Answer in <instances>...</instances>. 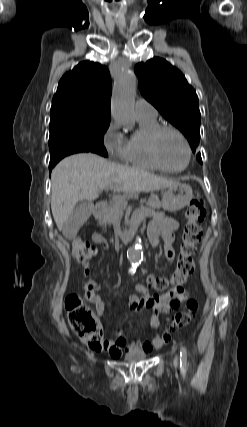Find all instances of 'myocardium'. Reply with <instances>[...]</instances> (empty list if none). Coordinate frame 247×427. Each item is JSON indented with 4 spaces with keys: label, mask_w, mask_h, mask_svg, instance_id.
<instances>
[{
    "label": "myocardium",
    "mask_w": 247,
    "mask_h": 427,
    "mask_svg": "<svg viewBox=\"0 0 247 427\" xmlns=\"http://www.w3.org/2000/svg\"><path fill=\"white\" fill-rule=\"evenodd\" d=\"M165 132H172L176 134L183 142L186 152H187V160L183 167L179 169H172L164 165V163L161 161L159 153H158V141L161 137V135ZM148 149L151 158L155 162V164L163 171L171 172V173H179L184 171L190 164L191 157H192V150L191 146L189 144L188 139L184 135V133L179 130L178 128L172 126V125H159L157 128H155L152 133L149 136L148 139Z\"/></svg>",
    "instance_id": "myocardium-1"
}]
</instances>
